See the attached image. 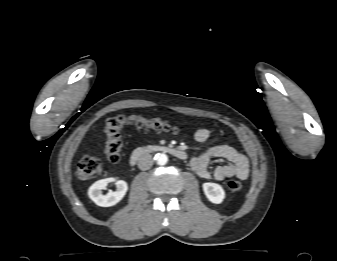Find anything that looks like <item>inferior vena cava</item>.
<instances>
[{"label": "inferior vena cava", "mask_w": 337, "mask_h": 261, "mask_svg": "<svg viewBox=\"0 0 337 261\" xmlns=\"http://www.w3.org/2000/svg\"><path fill=\"white\" fill-rule=\"evenodd\" d=\"M153 165V158L150 154L142 155L138 160V167L141 170H148Z\"/></svg>", "instance_id": "obj_1"}]
</instances>
